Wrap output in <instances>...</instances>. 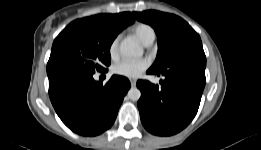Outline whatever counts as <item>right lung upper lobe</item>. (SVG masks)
Segmentation results:
<instances>
[{"label":"right lung upper lobe","instance_id":"right-lung-upper-lobe-1","mask_svg":"<svg viewBox=\"0 0 261 150\" xmlns=\"http://www.w3.org/2000/svg\"><path fill=\"white\" fill-rule=\"evenodd\" d=\"M83 19L107 24L120 30V32L128 25L132 24L135 20L133 14L130 12H123L119 14H98Z\"/></svg>","mask_w":261,"mask_h":150}]
</instances>
